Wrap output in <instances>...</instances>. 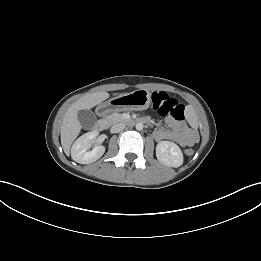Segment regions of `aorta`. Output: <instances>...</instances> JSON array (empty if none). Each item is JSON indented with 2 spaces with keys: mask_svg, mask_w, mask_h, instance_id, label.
Here are the masks:
<instances>
[{
  "mask_svg": "<svg viewBox=\"0 0 261 261\" xmlns=\"http://www.w3.org/2000/svg\"><path fill=\"white\" fill-rule=\"evenodd\" d=\"M136 129H137L138 131H141V130L143 129V124H142V123H137V124H136Z\"/></svg>",
  "mask_w": 261,
  "mask_h": 261,
  "instance_id": "762f6f07",
  "label": "aorta"
}]
</instances>
